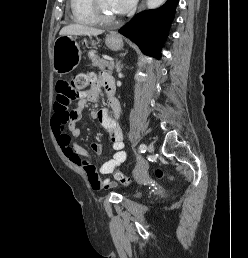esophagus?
I'll use <instances>...</instances> for the list:
<instances>
[{"mask_svg":"<svg viewBox=\"0 0 248 258\" xmlns=\"http://www.w3.org/2000/svg\"><path fill=\"white\" fill-rule=\"evenodd\" d=\"M144 7V0H142V2L139 5L138 11H141Z\"/></svg>","mask_w":248,"mask_h":258,"instance_id":"1","label":"esophagus"}]
</instances>
